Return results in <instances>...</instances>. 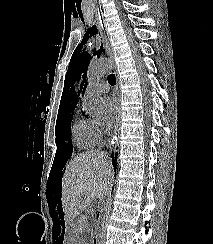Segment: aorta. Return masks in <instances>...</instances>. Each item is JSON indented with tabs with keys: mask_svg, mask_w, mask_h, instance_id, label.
Instances as JSON below:
<instances>
[{
	"mask_svg": "<svg viewBox=\"0 0 213 244\" xmlns=\"http://www.w3.org/2000/svg\"><path fill=\"white\" fill-rule=\"evenodd\" d=\"M112 67L110 60L98 58L91 61L87 70L88 86L84 93L83 104L85 111L92 117H98L103 112V98L101 93L95 87L99 81Z\"/></svg>",
	"mask_w": 213,
	"mask_h": 244,
	"instance_id": "762f6f07",
	"label": "aorta"
}]
</instances>
